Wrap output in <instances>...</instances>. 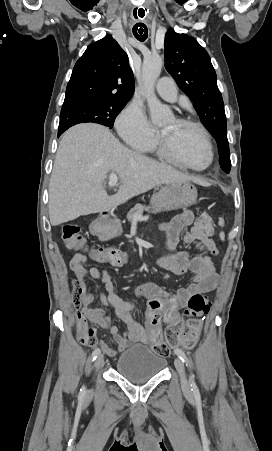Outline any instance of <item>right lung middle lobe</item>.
<instances>
[{"label":"right lung middle lobe","mask_w":272,"mask_h":451,"mask_svg":"<svg viewBox=\"0 0 272 451\" xmlns=\"http://www.w3.org/2000/svg\"><path fill=\"white\" fill-rule=\"evenodd\" d=\"M129 100L84 97L64 101L60 114L58 135L69 127L85 122L113 127L116 116Z\"/></svg>","instance_id":"1"}]
</instances>
